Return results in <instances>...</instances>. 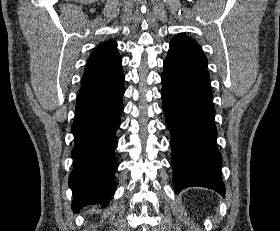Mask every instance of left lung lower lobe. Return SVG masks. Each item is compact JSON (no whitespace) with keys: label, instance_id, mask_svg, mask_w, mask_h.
Segmentation results:
<instances>
[{"label":"left lung lower lobe","instance_id":"left-lung-lower-lobe-1","mask_svg":"<svg viewBox=\"0 0 280 231\" xmlns=\"http://www.w3.org/2000/svg\"><path fill=\"white\" fill-rule=\"evenodd\" d=\"M161 96L171 132L175 192L202 186L224 196L209 76H179L164 65Z\"/></svg>","mask_w":280,"mask_h":231}]
</instances>
